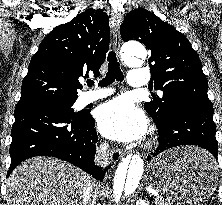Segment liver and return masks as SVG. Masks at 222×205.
Here are the masks:
<instances>
[{
	"instance_id": "6515ba94",
	"label": "liver",
	"mask_w": 222,
	"mask_h": 205,
	"mask_svg": "<svg viewBox=\"0 0 222 205\" xmlns=\"http://www.w3.org/2000/svg\"><path fill=\"white\" fill-rule=\"evenodd\" d=\"M90 176L52 157L28 159L7 180L5 205H82Z\"/></svg>"
}]
</instances>
